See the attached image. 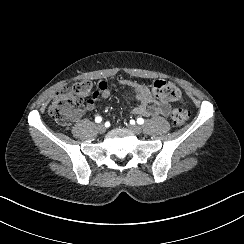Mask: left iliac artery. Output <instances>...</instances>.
<instances>
[{"label":"left iliac artery","instance_id":"obj_1","mask_svg":"<svg viewBox=\"0 0 244 244\" xmlns=\"http://www.w3.org/2000/svg\"><path fill=\"white\" fill-rule=\"evenodd\" d=\"M137 123L140 124V125L143 124L144 123V119L143 118H138L137 119Z\"/></svg>","mask_w":244,"mask_h":244}]
</instances>
